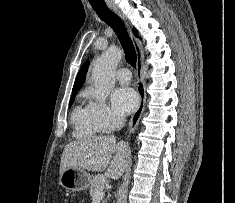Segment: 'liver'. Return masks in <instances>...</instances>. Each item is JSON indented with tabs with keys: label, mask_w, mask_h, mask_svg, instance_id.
<instances>
[{
	"label": "liver",
	"mask_w": 235,
	"mask_h": 203,
	"mask_svg": "<svg viewBox=\"0 0 235 203\" xmlns=\"http://www.w3.org/2000/svg\"><path fill=\"white\" fill-rule=\"evenodd\" d=\"M130 155L129 146L125 142L117 143L114 136L86 138L67 144L61 157L59 172L61 174L69 168L92 172L107 169L106 176L116 180L128 167Z\"/></svg>",
	"instance_id": "6515ba94"
}]
</instances>
